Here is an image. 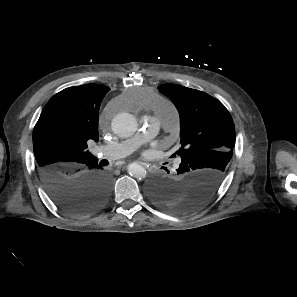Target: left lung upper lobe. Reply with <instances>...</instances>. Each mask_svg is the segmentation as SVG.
Returning a JSON list of instances; mask_svg holds the SVG:
<instances>
[{"label": "left lung upper lobe", "instance_id": "obj_1", "mask_svg": "<svg viewBox=\"0 0 297 297\" xmlns=\"http://www.w3.org/2000/svg\"><path fill=\"white\" fill-rule=\"evenodd\" d=\"M158 89L171 99L179 112L180 148L172 156H180V165L188 174L184 181L182 177H174L182 180L180 191L164 197L150 196L156 205L170 209L183 203L185 192L191 190L195 182L191 179L195 174L218 178V190L233 155L235 127L224 105L204 92L174 84H163ZM212 195L206 197L200 207Z\"/></svg>", "mask_w": 297, "mask_h": 297}]
</instances>
